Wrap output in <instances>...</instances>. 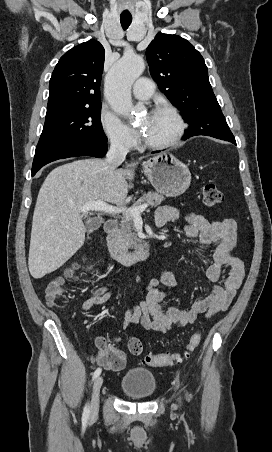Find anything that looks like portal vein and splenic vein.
<instances>
[{
	"label": "portal vein and splenic vein",
	"instance_id": "1",
	"mask_svg": "<svg viewBox=\"0 0 272 452\" xmlns=\"http://www.w3.org/2000/svg\"><path fill=\"white\" fill-rule=\"evenodd\" d=\"M149 206V204H143L139 207H123V206H113L105 203L102 200H98L95 202H88L84 206L80 208V211L82 212H88L90 210L92 211H100L103 213H109V214H124V215H130L133 217V219H139L140 214L145 211V209Z\"/></svg>",
	"mask_w": 272,
	"mask_h": 452
}]
</instances>
